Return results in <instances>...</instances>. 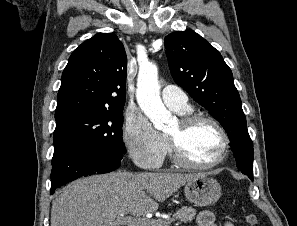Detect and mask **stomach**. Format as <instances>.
<instances>
[{"mask_svg": "<svg viewBox=\"0 0 297 226\" xmlns=\"http://www.w3.org/2000/svg\"><path fill=\"white\" fill-rule=\"evenodd\" d=\"M184 192L191 203L198 206H210L220 198L221 186L216 179L201 175L187 182Z\"/></svg>", "mask_w": 297, "mask_h": 226, "instance_id": "stomach-1", "label": "stomach"}]
</instances>
